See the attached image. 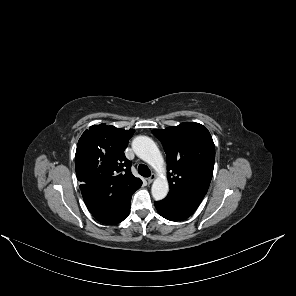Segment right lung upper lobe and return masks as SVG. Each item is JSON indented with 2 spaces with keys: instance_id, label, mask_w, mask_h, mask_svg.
I'll return each instance as SVG.
<instances>
[{
  "instance_id": "1",
  "label": "right lung upper lobe",
  "mask_w": 296,
  "mask_h": 296,
  "mask_svg": "<svg viewBox=\"0 0 296 296\" xmlns=\"http://www.w3.org/2000/svg\"><path fill=\"white\" fill-rule=\"evenodd\" d=\"M135 130L93 125L78 141L75 170L82 194L119 195L138 189L142 181L132 175L124 150Z\"/></svg>"
}]
</instances>
